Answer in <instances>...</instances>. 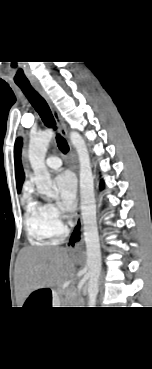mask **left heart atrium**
I'll use <instances>...</instances> for the list:
<instances>
[{
  "label": "left heart atrium",
  "mask_w": 152,
  "mask_h": 369,
  "mask_svg": "<svg viewBox=\"0 0 152 369\" xmlns=\"http://www.w3.org/2000/svg\"><path fill=\"white\" fill-rule=\"evenodd\" d=\"M55 185L60 196L63 210L72 211L76 206V181L70 172H64L55 178Z\"/></svg>",
  "instance_id": "1"
}]
</instances>
